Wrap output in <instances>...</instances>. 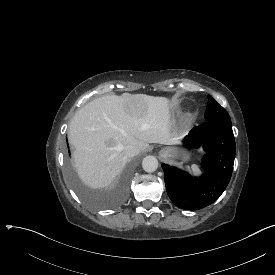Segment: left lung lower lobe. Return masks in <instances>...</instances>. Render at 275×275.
<instances>
[{"mask_svg": "<svg viewBox=\"0 0 275 275\" xmlns=\"http://www.w3.org/2000/svg\"><path fill=\"white\" fill-rule=\"evenodd\" d=\"M189 148L203 146L206 154L200 177L162 164L169 198L179 208L199 210L215 202L226 189L236 154L231 123L209 120L193 128L184 139Z\"/></svg>", "mask_w": 275, "mask_h": 275, "instance_id": "0a47b994", "label": "left lung lower lobe"}]
</instances>
